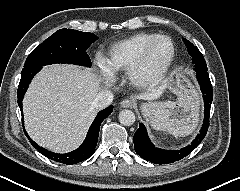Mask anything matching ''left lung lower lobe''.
Here are the masks:
<instances>
[{"instance_id":"left-lung-lower-lobe-1","label":"left lung lower lobe","mask_w":240,"mask_h":191,"mask_svg":"<svg viewBox=\"0 0 240 191\" xmlns=\"http://www.w3.org/2000/svg\"><path fill=\"white\" fill-rule=\"evenodd\" d=\"M196 77L201 87V91L204 94V121L200 134L193 140V142L187 147L177 150H163L156 148L149 140L146 132V128L143 124H139V128L136 131L133 142L136 153L147 161L155 164H169L180 160L181 158L190 154L203 140L209 127L210 108L213 99V91L211 81L207 71L196 70Z\"/></svg>"}]
</instances>
